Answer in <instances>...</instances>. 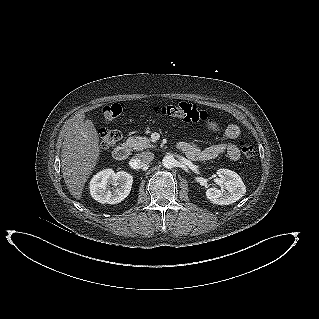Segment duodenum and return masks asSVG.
<instances>
[{
	"mask_svg": "<svg viewBox=\"0 0 319 319\" xmlns=\"http://www.w3.org/2000/svg\"><path fill=\"white\" fill-rule=\"evenodd\" d=\"M178 148L184 152V148L181 144L178 145ZM130 147L127 143L119 144L113 151V156L116 160H125L129 156Z\"/></svg>",
	"mask_w": 319,
	"mask_h": 319,
	"instance_id": "410a0bca",
	"label": "duodenum"
}]
</instances>
